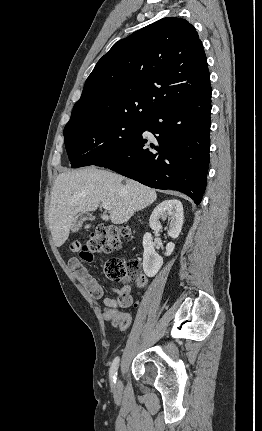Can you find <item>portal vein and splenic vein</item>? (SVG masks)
Segmentation results:
<instances>
[{"label":"portal vein and splenic vein","instance_id":"18ae733b","mask_svg":"<svg viewBox=\"0 0 262 431\" xmlns=\"http://www.w3.org/2000/svg\"><path fill=\"white\" fill-rule=\"evenodd\" d=\"M102 206H103V208L105 209V210H111V204L110 203H108V202H103L102 203Z\"/></svg>","mask_w":262,"mask_h":431}]
</instances>
